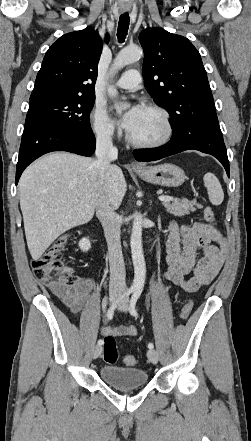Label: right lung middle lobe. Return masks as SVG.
Returning <instances> with one entry per match:
<instances>
[{
    "label": "right lung middle lobe",
    "mask_w": 251,
    "mask_h": 441,
    "mask_svg": "<svg viewBox=\"0 0 251 441\" xmlns=\"http://www.w3.org/2000/svg\"><path fill=\"white\" fill-rule=\"evenodd\" d=\"M95 96H55L30 101L27 117H37L76 133L90 132Z\"/></svg>",
    "instance_id": "1"
}]
</instances>
